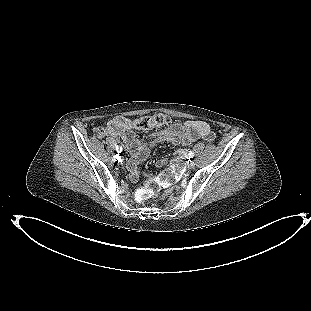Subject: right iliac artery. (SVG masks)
<instances>
[{
    "instance_id": "82829eb1",
    "label": "right iliac artery",
    "mask_w": 311,
    "mask_h": 311,
    "mask_svg": "<svg viewBox=\"0 0 311 311\" xmlns=\"http://www.w3.org/2000/svg\"><path fill=\"white\" fill-rule=\"evenodd\" d=\"M116 150H117L118 153H121L122 152V147L121 146H116Z\"/></svg>"
}]
</instances>
